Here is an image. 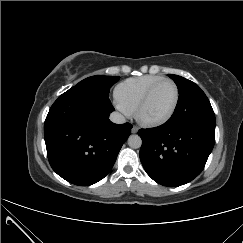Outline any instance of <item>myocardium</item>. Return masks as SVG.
I'll return each instance as SVG.
<instances>
[{"label":"myocardium","mask_w":243,"mask_h":243,"mask_svg":"<svg viewBox=\"0 0 243 243\" xmlns=\"http://www.w3.org/2000/svg\"><path fill=\"white\" fill-rule=\"evenodd\" d=\"M164 83H170L173 85L174 89H175V100L173 103V106L170 110V112L163 118L161 119H157V120H146L142 117V111L145 108V106L147 105L148 101L150 100L152 94L154 93V91L162 84ZM179 100H180V92H179V88L177 86V84L171 80V79H162L158 82H156L155 84H153L148 91L145 93V95L143 96V98L140 100L139 104L136 107V110L134 112L135 114V118L137 120V122L139 124H141L144 127L147 128H156V127H160L162 125H165L166 123H168L173 116L175 115L178 105H179Z\"/></svg>","instance_id":"myocardium-1"}]
</instances>
